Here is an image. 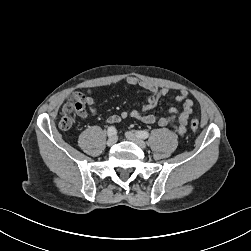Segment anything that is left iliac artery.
Listing matches in <instances>:
<instances>
[{
    "mask_svg": "<svg viewBox=\"0 0 251 251\" xmlns=\"http://www.w3.org/2000/svg\"><path fill=\"white\" fill-rule=\"evenodd\" d=\"M136 134L142 139H146L149 137V132L146 130L137 131Z\"/></svg>",
    "mask_w": 251,
    "mask_h": 251,
    "instance_id": "44dca946",
    "label": "left iliac artery"
}]
</instances>
